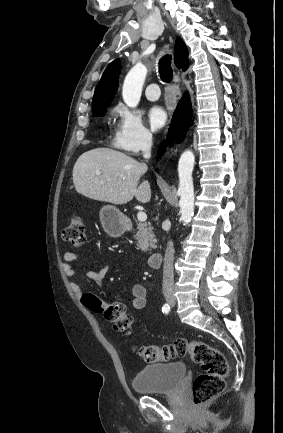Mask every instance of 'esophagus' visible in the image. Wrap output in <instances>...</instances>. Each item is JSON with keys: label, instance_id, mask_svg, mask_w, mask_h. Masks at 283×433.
<instances>
[{"label": "esophagus", "instance_id": "34e87169", "mask_svg": "<svg viewBox=\"0 0 283 433\" xmlns=\"http://www.w3.org/2000/svg\"><path fill=\"white\" fill-rule=\"evenodd\" d=\"M169 151H170V148L167 149V152H166V153H169Z\"/></svg>", "mask_w": 283, "mask_h": 433}]
</instances>
